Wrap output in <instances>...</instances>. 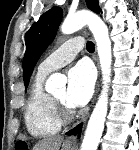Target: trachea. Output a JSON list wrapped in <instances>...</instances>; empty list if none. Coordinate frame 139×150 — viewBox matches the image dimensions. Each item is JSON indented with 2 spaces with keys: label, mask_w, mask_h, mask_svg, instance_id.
<instances>
[{
  "label": "trachea",
  "mask_w": 139,
  "mask_h": 150,
  "mask_svg": "<svg viewBox=\"0 0 139 150\" xmlns=\"http://www.w3.org/2000/svg\"><path fill=\"white\" fill-rule=\"evenodd\" d=\"M86 48L89 52H93L94 51V43L91 41H88L86 44Z\"/></svg>",
  "instance_id": "3493384b"
}]
</instances>
